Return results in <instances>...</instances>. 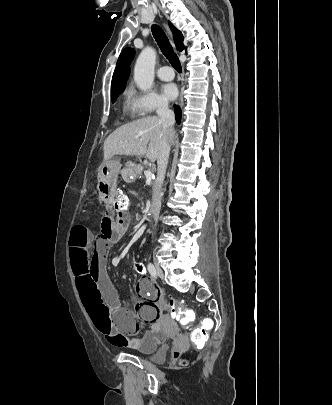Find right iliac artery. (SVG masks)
Instances as JSON below:
<instances>
[{
	"instance_id": "right-iliac-artery-1",
	"label": "right iliac artery",
	"mask_w": 332,
	"mask_h": 405,
	"mask_svg": "<svg viewBox=\"0 0 332 405\" xmlns=\"http://www.w3.org/2000/svg\"><path fill=\"white\" fill-rule=\"evenodd\" d=\"M147 268H148V271H149L150 275H151L153 278H156V277H157V274H156V270H155L154 265L151 264V263H149L148 266H147Z\"/></svg>"
}]
</instances>
